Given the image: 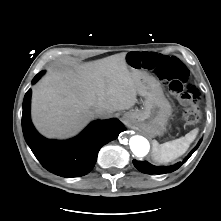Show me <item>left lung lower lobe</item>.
I'll use <instances>...</instances> for the list:
<instances>
[{
	"instance_id": "1",
	"label": "left lung lower lobe",
	"mask_w": 221,
	"mask_h": 221,
	"mask_svg": "<svg viewBox=\"0 0 221 221\" xmlns=\"http://www.w3.org/2000/svg\"><path fill=\"white\" fill-rule=\"evenodd\" d=\"M202 139L199 141V143L196 145V147L191 151V153L182 161L179 162L173 166L169 167H157L154 166L146 161H137L133 160L134 166L141 172L146 173V174H165V173H170L175 170H177L183 163H185L189 157L194 153V151L199 147Z\"/></svg>"
}]
</instances>
